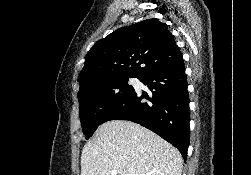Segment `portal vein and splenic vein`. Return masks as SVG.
I'll use <instances>...</instances> for the list:
<instances>
[{
	"label": "portal vein and splenic vein",
	"mask_w": 251,
	"mask_h": 175,
	"mask_svg": "<svg viewBox=\"0 0 251 175\" xmlns=\"http://www.w3.org/2000/svg\"><path fill=\"white\" fill-rule=\"evenodd\" d=\"M111 175H117L116 169H112ZM122 175H148V173H122Z\"/></svg>",
	"instance_id": "portal-vein-and-splenic-vein-1"
}]
</instances>
